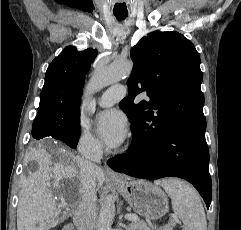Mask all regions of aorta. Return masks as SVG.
<instances>
[{"mask_svg":"<svg viewBox=\"0 0 241 230\" xmlns=\"http://www.w3.org/2000/svg\"><path fill=\"white\" fill-rule=\"evenodd\" d=\"M132 68L133 63L130 60H118L112 62L110 65L97 68L89 81L86 90L87 94L95 93L108 85L130 76ZM115 212L114 199L110 196L106 197L101 204L96 229L113 230L112 223Z\"/></svg>","mask_w":241,"mask_h":230,"instance_id":"aorta-1","label":"aorta"}]
</instances>
